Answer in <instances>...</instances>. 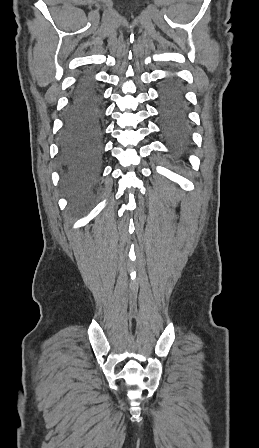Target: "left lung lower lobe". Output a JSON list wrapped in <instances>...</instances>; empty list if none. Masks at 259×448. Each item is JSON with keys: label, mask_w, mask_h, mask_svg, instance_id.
Here are the masks:
<instances>
[{"label": "left lung lower lobe", "mask_w": 259, "mask_h": 448, "mask_svg": "<svg viewBox=\"0 0 259 448\" xmlns=\"http://www.w3.org/2000/svg\"><path fill=\"white\" fill-rule=\"evenodd\" d=\"M161 128L172 155L183 159L190 142V124L181 87L175 79L167 81L160 91Z\"/></svg>", "instance_id": "1"}]
</instances>
